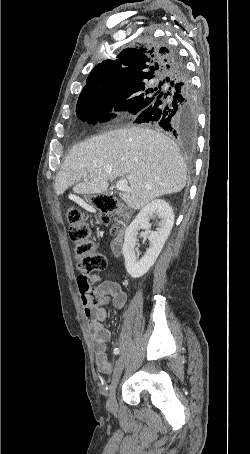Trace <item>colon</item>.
Here are the masks:
<instances>
[{
  "label": "colon",
  "instance_id": "obj_1",
  "mask_svg": "<svg viewBox=\"0 0 250 454\" xmlns=\"http://www.w3.org/2000/svg\"><path fill=\"white\" fill-rule=\"evenodd\" d=\"M93 204L102 213V222H110V213L117 208L116 199L108 194H100L92 199ZM69 236L73 242L74 258L76 265L82 275H87L93 271H102L107 268V260L98 251L97 244L92 231L83 218V214L78 207L72 206L68 210ZM88 305L95 308L100 300L97 298L93 289L87 293Z\"/></svg>",
  "mask_w": 250,
  "mask_h": 454
}]
</instances>
